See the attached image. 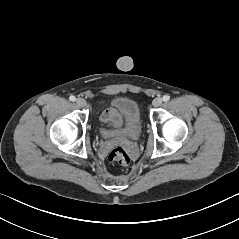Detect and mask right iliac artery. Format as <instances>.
I'll use <instances>...</instances> for the list:
<instances>
[{
    "label": "right iliac artery",
    "instance_id": "1",
    "mask_svg": "<svg viewBox=\"0 0 239 239\" xmlns=\"http://www.w3.org/2000/svg\"><path fill=\"white\" fill-rule=\"evenodd\" d=\"M69 100L73 102V101L76 100V98H75V96L71 95V96L69 97Z\"/></svg>",
    "mask_w": 239,
    "mask_h": 239
}]
</instances>
